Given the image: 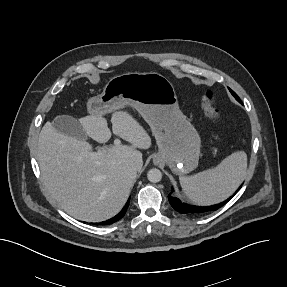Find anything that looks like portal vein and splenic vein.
<instances>
[{
    "instance_id": "1",
    "label": "portal vein and splenic vein",
    "mask_w": 287,
    "mask_h": 287,
    "mask_svg": "<svg viewBox=\"0 0 287 287\" xmlns=\"http://www.w3.org/2000/svg\"><path fill=\"white\" fill-rule=\"evenodd\" d=\"M120 140L119 139H115L114 140V145L115 146H118V145H120ZM105 148V147H104ZM91 155H92V157H94V158H98L99 156H101L102 155V150H98L97 152H93V153H91Z\"/></svg>"
}]
</instances>
